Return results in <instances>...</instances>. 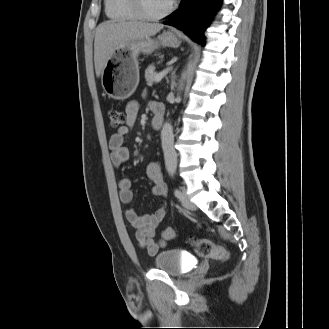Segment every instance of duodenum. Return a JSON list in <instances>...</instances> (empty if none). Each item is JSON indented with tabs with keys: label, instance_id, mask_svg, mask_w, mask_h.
<instances>
[{
	"label": "duodenum",
	"instance_id": "obj_1",
	"mask_svg": "<svg viewBox=\"0 0 329 329\" xmlns=\"http://www.w3.org/2000/svg\"><path fill=\"white\" fill-rule=\"evenodd\" d=\"M153 109V118H152V127L155 130L161 128L164 120V109L157 103H154L152 106Z\"/></svg>",
	"mask_w": 329,
	"mask_h": 329
}]
</instances>
